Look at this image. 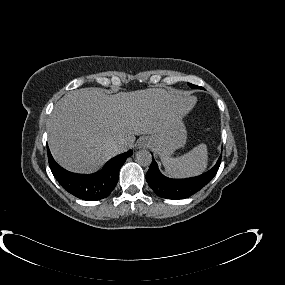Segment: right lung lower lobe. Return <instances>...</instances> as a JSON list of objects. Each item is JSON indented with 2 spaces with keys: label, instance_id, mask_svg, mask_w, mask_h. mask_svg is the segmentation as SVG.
<instances>
[{
  "label": "right lung lower lobe",
  "instance_id": "obj_1",
  "mask_svg": "<svg viewBox=\"0 0 285 285\" xmlns=\"http://www.w3.org/2000/svg\"><path fill=\"white\" fill-rule=\"evenodd\" d=\"M47 153L50 169L57 181L70 194L86 201L106 198L118 182L121 166L127 157L132 155L130 150L111 159L100 172L83 175L71 173L60 167L53 159L49 148H47Z\"/></svg>",
  "mask_w": 285,
  "mask_h": 285
}]
</instances>
